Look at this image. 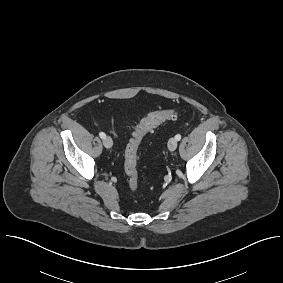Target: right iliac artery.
<instances>
[{"mask_svg":"<svg viewBox=\"0 0 283 283\" xmlns=\"http://www.w3.org/2000/svg\"><path fill=\"white\" fill-rule=\"evenodd\" d=\"M100 138L104 139L106 137V134L104 132L99 133Z\"/></svg>","mask_w":283,"mask_h":283,"instance_id":"obj_1","label":"right iliac artery"}]
</instances>
